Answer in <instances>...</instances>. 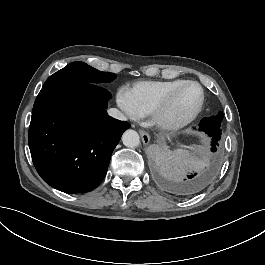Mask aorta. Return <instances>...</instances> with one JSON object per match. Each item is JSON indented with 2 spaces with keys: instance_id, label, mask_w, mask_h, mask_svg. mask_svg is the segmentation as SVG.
I'll return each instance as SVG.
<instances>
[{
  "instance_id": "1",
  "label": "aorta",
  "mask_w": 265,
  "mask_h": 265,
  "mask_svg": "<svg viewBox=\"0 0 265 265\" xmlns=\"http://www.w3.org/2000/svg\"><path fill=\"white\" fill-rule=\"evenodd\" d=\"M123 144L127 147L134 148L140 143V137L134 130L128 129L122 135Z\"/></svg>"
}]
</instances>
